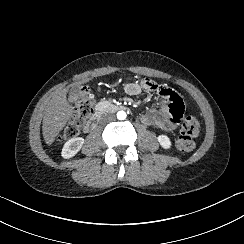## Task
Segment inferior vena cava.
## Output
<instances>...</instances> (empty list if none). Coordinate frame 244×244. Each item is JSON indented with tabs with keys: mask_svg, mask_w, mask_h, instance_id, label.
I'll return each mask as SVG.
<instances>
[{
	"mask_svg": "<svg viewBox=\"0 0 244 244\" xmlns=\"http://www.w3.org/2000/svg\"><path fill=\"white\" fill-rule=\"evenodd\" d=\"M104 119H106V121H108V122H111V121H115L116 117H115V115L107 114L104 116Z\"/></svg>",
	"mask_w": 244,
	"mask_h": 244,
	"instance_id": "1",
	"label": "inferior vena cava"
}]
</instances>
